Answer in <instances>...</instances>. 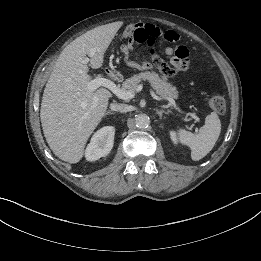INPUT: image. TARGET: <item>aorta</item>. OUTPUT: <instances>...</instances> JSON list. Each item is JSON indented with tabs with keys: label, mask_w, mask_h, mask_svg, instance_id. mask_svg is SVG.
I'll return each instance as SVG.
<instances>
[{
	"label": "aorta",
	"mask_w": 261,
	"mask_h": 261,
	"mask_svg": "<svg viewBox=\"0 0 261 261\" xmlns=\"http://www.w3.org/2000/svg\"><path fill=\"white\" fill-rule=\"evenodd\" d=\"M135 124L140 129L146 128L150 124V118L146 114H139L135 118Z\"/></svg>",
	"instance_id": "aorta-1"
}]
</instances>
